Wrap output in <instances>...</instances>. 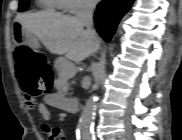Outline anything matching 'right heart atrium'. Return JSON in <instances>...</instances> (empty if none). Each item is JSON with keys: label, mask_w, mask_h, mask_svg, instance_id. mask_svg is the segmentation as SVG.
<instances>
[{"label": "right heart atrium", "mask_w": 182, "mask_h": 140, "mask_svg": "<svg viewBox=\"0 0 182 140\" xmlns=\"http://www.w3.org/2000/svg\"><path fill=\"white\" fill-rule=\"evenodd\" d=\"M93 6L91 0H63L62 9L71 14H81L90 11Z\"/></svg>", "instance_id": "1"}]
</instances>
